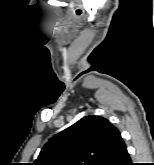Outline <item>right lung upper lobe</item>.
<instances>
[{"label":"right lung upper lobe","instance_id":"cb5924a9","mask_svg":"<svg viewBox=\"0 0 154 165\" xmlns=\"http://www.w3.org/2000/svg\"><path fill=\"white\" fill-rule=\"evenodd\" d=\"M120 132L107 119L89 115L45 144L34 165H104Z\"/></svg>","mask_w":154,"mask_h":165}]
</instances>
